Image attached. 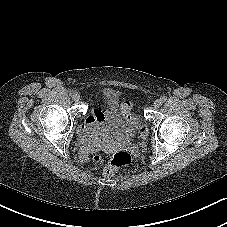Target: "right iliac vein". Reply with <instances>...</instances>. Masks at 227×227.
<instances>
[{
  "instance_id": "obj_1",
  "label": "right iliac vein",
  "mask_w": 227,
  "mask_h": 227,
  "mask_svg": "<svg viewBox=\"0 0 227 227\" xmlns=\"http://www.w3.org/2000/svg\"><path fill=\"white\" fill-rule=\"evenodd\" d=\"M74 101H79L80 100V94L79 93H74L72 96Z\"/></svg>"
}]
</instances>
